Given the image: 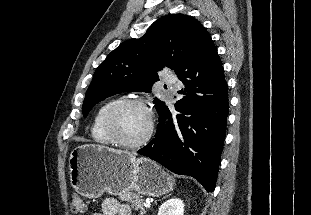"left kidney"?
<instances>
[{"mask_svg":"<svg viewBox=\"0 0 311 215\" xmlns=\"http://www.w3.org/2000/svg\"><path fill=\"white\" fill-rule=\"evenodd\" d=\"M158 215H184L183 201L178 198L167 200L160 206Z\"/></svg>","mask_w":311,"mask_h":215,"instance_id":"obj_1","label":"left kidney"}]
</instances>
